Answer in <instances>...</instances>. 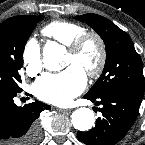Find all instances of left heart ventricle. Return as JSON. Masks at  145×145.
<instances>
[{"label": "left heart ventricle", "instance_id": "obj_1", "mask_svg": "<svg viewBox=\"0 0 145 145\" xmlns=\"http://www.w3.org/2000/svg\"><path fill=\"white\" fill-rule=\"evenodd\" d=\"M99 53L97 44L90 40L88 41L81 52L77 55H73L71 53H67L64 67H69L71 65H77L84 72L87 70L93 69L98 62Z\"/></svg>", "mask_w": 145, "mask_h": 145}]
</instances>
